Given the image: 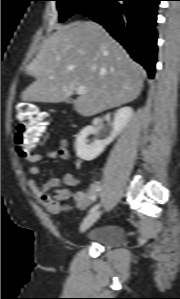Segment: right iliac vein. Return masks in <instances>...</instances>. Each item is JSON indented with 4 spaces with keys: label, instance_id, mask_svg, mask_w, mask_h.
<instances>
[{
    "label": "right iliac vein",
    "instance_id": "obj_1",
    "mask_svg": "<svg viewBox=\"0 0 180 299\" xmlns=\"http://www.w3.org/2000/svg\"><path fill=\"white\" fill-rule=\"evenodd\" d=\"M101 216V211H94L92 213H90L82 222L81 226H80V230L82 232L86 231L87 229H89Z\"/></svg>",
    "mask_w": 180,
    "mask_h": 299
}]
</instances>
